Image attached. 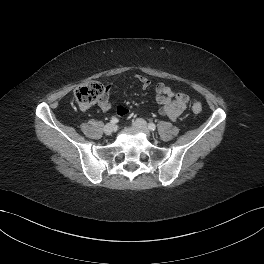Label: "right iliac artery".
I'll return each instance as SVG.
<instances>
[{"label":"right iliac artery","mask_w":264,"mask_h":264,"mask_svg":"<svg viewBox=\"0 0 264 264\" xmlns=\"http://www.w3.org/2000/svg\"><path fill=\"white\" fill-rule=\"evenodd\" d=\"M118 122V119L113 117L111 120H110V123L111 124H116Z\"/></svg>","instance_id":"right-iliac-artery-1"}]
</instances>
